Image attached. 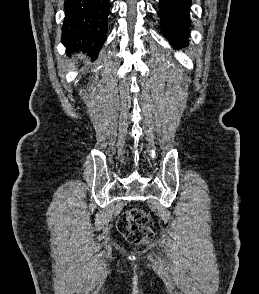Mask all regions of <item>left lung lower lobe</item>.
I'll use <instances>...</instances> for the list:
<instances>
[{
	"mask_svg": "<svg viewBox=\"0 0 259 294\" xmlns=\"http://www.w3.org/2000/svg\"><path fill=\"white\" fill-rule=\"evenodd\" d=\"M190 5L191 0H159L162 32L174 47L188 44Z\"/></svg>",
	"mask_w": 259,
	"mask_h": 294,
	"instance_id": "0a47b994",
	"label": "left lung lower lobe"
}]
</instances>
